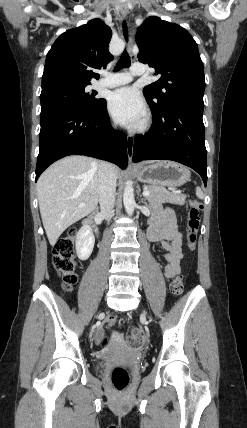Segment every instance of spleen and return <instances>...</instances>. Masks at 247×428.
Wrapping results in <instances>:
<instances>
[{
	"instance_id": "3e777b00",
	"label": "spleen",
	"mask_w": 247,
	"mask_h": 428,
	"mask_svg": "<svg viewBox=\"0 0 247 428\" xmlns=\"http://www.w3.org/2000/svg\"><path fill=\"white\" fill-rule=\"evenodd\" d=\"M196 195H197V197H198V198H200V199H203V198H204L203 191H202L199 187H197V188H196Z\"/></svg>"
}]
</instances>
